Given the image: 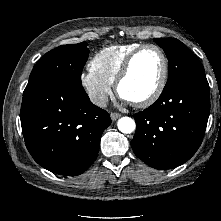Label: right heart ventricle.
<instances>
[{"label":"right heart ventricle","mask_w":221,"mask_h":221,"mask_svg":"<svg viewBox=\"0 0 221 221\" xmlns=\"http://www.w3.org/2000/svg\"><path fill=\"white\" fill-rule=\"evenodd\" d=\"M141 45L133 42L105 47L93 56L90 68L98 76L113 84L128 55Z\"/></svg>","instance_id":"1"}]
</instances>
